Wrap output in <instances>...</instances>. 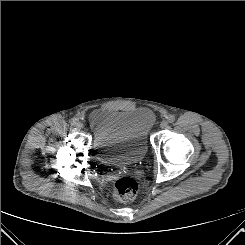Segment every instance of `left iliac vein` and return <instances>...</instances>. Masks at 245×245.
<instances>
[{
    "instance_id": "4c4485c4",
    "label": "left iliac vein",
    "mask_w": 245,
    "mask_h": 245,
    "mask_svg": "<svg viewBox=\"0 0 245 245\" xmlns=\"http://www.w3.org/2000/svg\"><path fill=\"white\" fill-rule=\"evenodd\" d=\"M167 126H168V122H167L166 120L161 121L160 127H161L162 129L166 128Z\"/></svg>"
}]
</instances>
